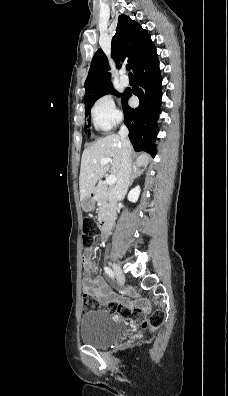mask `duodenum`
Masks as SVG:
<instances>
[{"label": "duodenum", "instance_id": "obj_1", "mask_svg": "<svg viewBox=\"0 0 228 396\" xmlns=\"http://www.w3.org/2000/svg\"><path fill=\"white\" fill-rule=\"evenodd\" d=\"M99 224L103 234H108L110 231V220L108 218H102L100 219Z\"/></svg>", "mask_w": 228, "mask_h": 396}]
</instances>
